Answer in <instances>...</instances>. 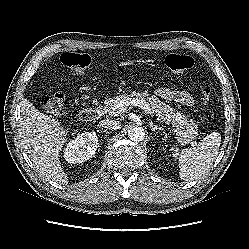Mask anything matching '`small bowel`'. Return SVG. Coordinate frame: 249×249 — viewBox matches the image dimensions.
Wrapping results in <instances>:
<instances>
[{
  "label": "small bowel",
  "mask_w": 249,
  "mask_h": 249,
  "mask_svg": "<svg viewBox=\"0 0 249 249\" xmlns=\"http://www.w3.org/2000/svg\"><path fill=\"white\" fill-rule=\"evenodd\" d=\"M156 95L162 99L173 101L182 105H192L194 97L187 91L176 90L172 88H159Z\"/></svg>",
  "instance_id": "c3829d8e"
}]
</instances>
